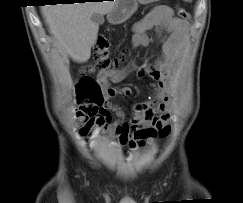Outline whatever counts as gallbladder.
I'll return each instance as SVG.
<instances>
[{"label":"gallbladder","mask_w":243,"mask_h":203,"mask_svg":"<svg viewBox=\"0 0 243 203\" xmlns=\"http://www.w3.org/2000/svg\"><path fill=\"white\" fill-rule=\"evenodd\" d=\"M91 20H92V22H94L97 25H101L104 23V17H103V15H101L99 13L92 14Z\"/></svg>","instance_id":"obj_1"}]
</instances>
